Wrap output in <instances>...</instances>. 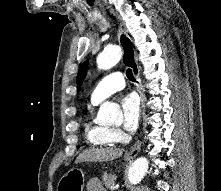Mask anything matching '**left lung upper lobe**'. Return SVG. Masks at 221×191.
<instances>
[{
	"label": "left lung upper lobe",
	"mask_w": 221,
	"mask_h": 191,
	"mask_svg": "<svg viewBox=\"0 0 221 191\" xmlns=\"http://www.w3.org/2000/svg\"><path fill=\"white\" fill-rule=\"evenodd\" d=\"M87 65H88V61H85L83 64H82V66H81V68H80V70H79V72H78V75H77V88H78V90L80 89V87H81V85H82V82H83V79L85 78V76H86V68H87Z\"/></svg>",
	"instance_id": "obj_1"
}]
</instances>
